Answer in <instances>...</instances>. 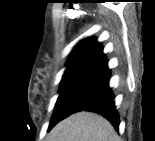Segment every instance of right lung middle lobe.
Instances as JSON below:
<instances>
[{"instance_id": "dd1d6c3e", "label": "right lung middle lobe", "mask_w": 155, "mask_h": 141, "mask_svg": "<svg viewBox=\"0 0 155 141\" xmlns=\"http://www.w3.org/2000/svg\"><path fill=\"white\" fill-rule=\"evenodd\" d=\"M92 71H72L63 75L59 89V97L55 105L49 129L61 120L62 108L68 100L86 83L94 74Z\"/></svg>"}]
</instances>
